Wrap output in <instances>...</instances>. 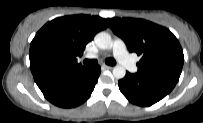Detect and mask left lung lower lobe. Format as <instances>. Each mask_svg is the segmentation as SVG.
<instances>
[{
  "mask_svg": "<svg viewBox=\"0 0 203 123\" xmlns=\"http://www.w3.org/2000/svg\"><path fill=\"white\" fill-rule=\"evenodd\" d=\"M122 94L133 104L150 106L164 98L175 87L176 83L154 76L131 74L118 82Z\"/></svg>",
  "mask_w": 203,
  "mask_h": 123,
  "instance_id": "0a47b994",
  "label": "left lung lower lobe"
}]
</instances>
